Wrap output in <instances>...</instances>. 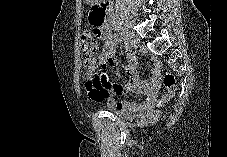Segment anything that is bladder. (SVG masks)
<instances>
[{
  "instance_id": "bladder-1",
  "label": "bladder",
  "mask_w": 227,
  "mask_h": 157,
  "mask_svg": "<svg viewBox=\"0 0 227 157\" xmlns=\"http://www.w3.org/2000/svg\"><path fill=\"white\" fill-rule=\"evenodd\" d=\"M111 112L122 118H130L133 116L131 112H127L123 110L112 109Z\"/></svg>"
}]
</instances>
